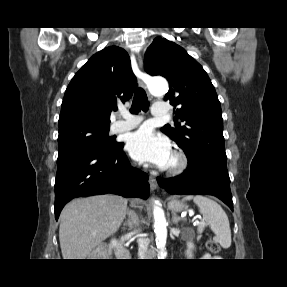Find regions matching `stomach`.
<instances>
[{
	"label": "stomach",
	"mask_w": 287,
	"mask_h": 287,
	"mask_svg": "<svg viewBox=\"0 0 287 287\" xmlns=\"http://www.w3.org/2000/svg\"><path fill=\"white\" fill-rule=\"evenodd\" d=\"M168 207L173 212H180L186 208L185 204H183L181 201H179L177 199L170 200L168 203Z\"/></svg>",
	"instance_id": "stomach-1"
}]
</instances>
